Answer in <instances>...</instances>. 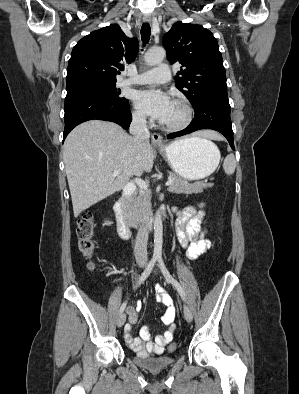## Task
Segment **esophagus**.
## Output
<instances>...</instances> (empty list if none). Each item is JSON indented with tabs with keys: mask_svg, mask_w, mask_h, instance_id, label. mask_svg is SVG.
I'll use <instances>...</instances> for the list:
<instances>
[{
	"mask_svg": "<svg viewBox=\"0 0 299 394\" xmlns=\"http://www.w3.org/2000/svg\"><path fill=\"white\" fill-rule=\"evenodd\" d=\"M143 21L145 23H151V17L145 16ZM151 140H152V144L156 147L161 148V147H164V145H165L162 136L158 133H153L151 136Z\"/></svg>",
	"mask_w": 299,
	"mask_h": 394,
	"instance_id": "obj_1",
	"label": "esophagus"
}]
</instances>
